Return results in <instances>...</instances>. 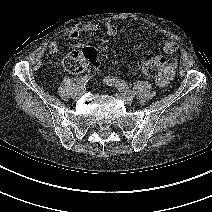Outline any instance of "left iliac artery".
<instances>
[{"instance_id":"1","label":"left iliac artery","mask_w":212,"mask_h":212,"mask_svg":"<svg viewBox=\"0 0 212 212\" xmlns=\"http://www.w3.org/2000/svg\"><path fill=\"white\" fill-rule=\"evenodd\" d=\"M104 83L107 85H114L117 87L120 91H122L125 94L131 95L134 97L133 91L129 88V86L120 78L117 77H105Z\"/></svg>"}]
</instances>
